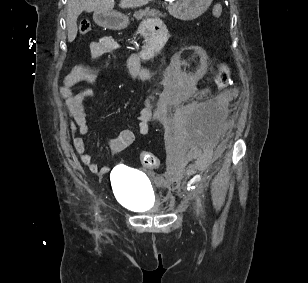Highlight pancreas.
<instances>
[{
    "label": "pancreas",
    "mask_w": 308,
    "mask_h": 283,
    "mask_svg": "<svg viewBox=\"0 0 308 283\" xmlns=\"http://www.w3.org/2000/svg\"><path fill=\"white\" fill-rule=\"evenodd\" d=\"M133 16L137 20H141L144 17H164L165 15L160 13L156 9H150L149 7L145 8L144 10H139L133 14Z\"/></svg>",
    "instance_id": "obj_1"
}]
</instances>
